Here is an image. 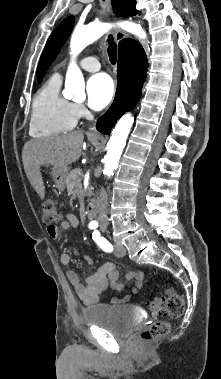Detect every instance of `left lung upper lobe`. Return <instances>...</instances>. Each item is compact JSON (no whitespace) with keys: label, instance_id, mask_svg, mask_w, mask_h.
Instances as JSON below:
<instances>
[{"label":"left lung upper lobe","instance_id":"1","mask_svg":"<svg viewBox=\"0 0 221 379\" xmlns=\"http://www.w3.org/2000/svg\"><path fill=\"white\" fill-rule=\"evenodd\" d=\"M114 12L117 15H136L137 10L135 9V0H112ZM74 24V17L70 16L63 20L59 26L50 35L37 69V79L41 82L44 77L48 67L56 58L60 48L65 43L66 39L70 35Z\"/></svg>","mask_w":221,"mask_h":379}]
</instances>
